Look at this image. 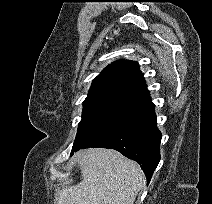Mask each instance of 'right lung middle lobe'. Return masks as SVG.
<instances>
[{
    "label": "right lung middle lobe",
    "instance_id": "right-lung-middle-lobe-1",
    "mask_svg": "<svg viewBox=\"0 0 212 204\" xmlns=\"http://www.w3.org/2000/svg\"><path fill=\"white\" fill-rule=\"evenodd\" d=\"M145 105L119 101L96 100L83 104L73 150L95 145L129 124Z\"/></svg>",
    "mask_w": 212,
    "mask_h": 204
}]
</instances>
